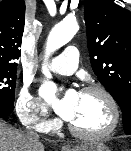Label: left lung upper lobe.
I'll list each match as a JSON object with an SVG mask.
<instances>
[{"label":"left lung upper lobe","instance_id":"5c2ea615","mask_svg":"<svg viewBox=\"0 0 131 151\" xmlns=\"http://www.w3.org/2000/svg\"><path fill=\"white\" fill-rule=\"evenodd\" d=\"M84 17L91 66L119 104L131 134V12L112 0H86Z\"/></svg>","mask_w":131,"mask_h":151}]
</instances>
